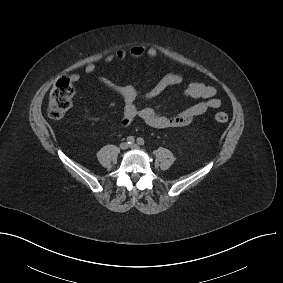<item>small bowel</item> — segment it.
I'll return each mask as SVG.
<instances>
[{"mask_svg": "<svg viewBox=\"0 0 283 283\" xmlns=\"http://www.w3.org/2000/svg\"><path fill=\"white\" fill-rule=\"evenodd\" d=\"M158 55V50L155 47H145L141 45H134L128 50L118 49L114 53L105 58V62L111 63L114 61L122 62L128 57L132 58H155ZM85 73L93 74L96 71L95 64H87L84 68ZM70 79L73 82L80 80L79 74H71ZM99 81L108 88L117 92L124 101V112L122 118V125L128 127L135 120L140 119L147 125L159 128H176L184 127L191 124L196 117L206 113L209 109H216L220 107L221 101L216 97V88L204 84L202 82L190 83L184 90L186 96L198 99L199 101L192 106L186 108L180 113L173 116L161 115L156 108L148 106H138L137 100L152 99L160 95L166 88L170 86L179 85L183 81V77L179 73H167L161 77L155 87L148 93L141 96L138 91L128 85H120L105 76H98Z\"/></svg>", "mask_w": 283, "mask_h": 283, "instance_id": "c3829d8e", "label": "small bowel"}]
</instances>
